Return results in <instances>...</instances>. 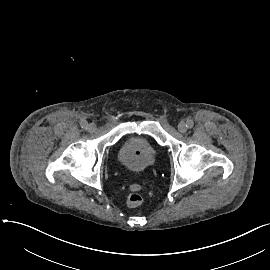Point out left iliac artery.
Returning a JSON list of instances; mask_svg holds the SVG:
<instances>
[{
    "label": "left iliac artery",
    "mask_w": 270,
    "mask_h": 270,
    "mask_svg": "<svg viewBox=\"0 0 270 270\" xmlns=\"http://www.w3.org/2000/svg\"><path fill=\"white\" fill-rule=\"evenodd\" d=\"M186 126L187 128H192L194 126V122L192 120H187Z\"/></svg>",
    "instance_id": "left-iliac-artery-1"
}]
</instances>
